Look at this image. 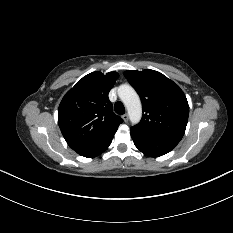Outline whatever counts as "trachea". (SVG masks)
Listing matches in <instances>:
<instances>
[{
    "instance_id": "3493384b",
    "label": "trachea",
    "mask_w": 233,
    "mask_h": 233,
    "mask_svg": "<svg viewBox=\"0 0 233 233\" xmlns=\"http://www.w3.org/2000/svg\"><path fill=\"white\" fill-rule=\"evenodd\" d=\"M114 110L119 115H122L125 113V107L122 102H116L114 105Z\"/></svg>"
}]
</instances>
